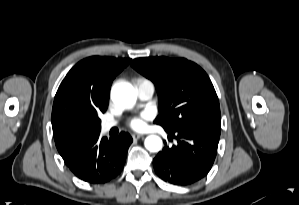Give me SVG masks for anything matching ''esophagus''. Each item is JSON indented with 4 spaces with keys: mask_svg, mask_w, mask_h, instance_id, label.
<instances>
[{
    "mask_svg": "<svg viewBox=\"0 0 299 205\" xmlns=\"http://www.w3.org/2000/svg\"><path fill=\"white\" fill-rule=\"evenodd\" d=\"M143 137V135H140V134H133L132 135V138L134 139V140H138V139H140V138H142Z\"/></svg>",
    "mask_w": 299,
    "mask_h": 205,
    "instance_id": "1",
    "label": "esophagus"
}]
</instances>
